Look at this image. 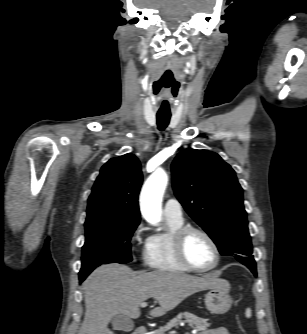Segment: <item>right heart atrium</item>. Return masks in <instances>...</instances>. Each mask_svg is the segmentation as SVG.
<instances>
[{
  "mask_svg": "<svg viewBox=\"0 0 307 334\" xmlns=\"http://www.w3.org/2000/svg\"><path fill=\"white\" fill-rule=\"evenodd\" d=\"M149 237L145 235V226L143 222H138L134 227L131 234V241L135 244L137 248L145 251L146 245L148 243Z\"/></svg>",
  "mask_w": 307,
  "mask_h": 334,
  "instance_id": "1",
  "label": "right heart atrium"
}]
</instances>
